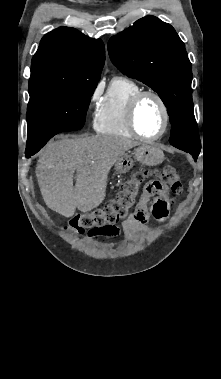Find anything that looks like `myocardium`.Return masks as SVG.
I'll use <instances>...</instances> for the list:
<instances>
[{"label":"myocardium","instance_id":"obj_1","mask_svg":"<svg viewBox=\"0 0 221 379\" xmlns=\"http://www.w3.org/2000/svg\"><path fill=\"white\" fill-rule=\"evenodd\" d=\"M147 96H151L157 100L159 103L164 117L163 127L162 130L155 136L148 137L140 133V131L137 128L136 124V112L137 108L140 104V102ZM127 123L130 131L133 133L134 136L137 138L144 140V141H156L164 136V134L167 132L169 123H170V114L168 110V106L163 99V97L153 91V90H141L137 94H135L132 99L130 100L128 107H127Z\"/></svg>","mask_w":221,"mask_h":379}]
</instances>
